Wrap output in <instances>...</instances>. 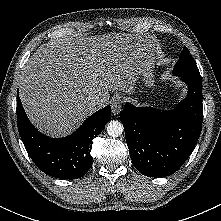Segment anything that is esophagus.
<instances>
[{
  "mask_svg": "<svg viewBox=\"0 0 221 221\" xmlns=\"http://www.w3.org/2000/svg\"><path fill=\"white\" fill-rule=\"evenodd\" d=\"M122 102L123 100L120 96L113 97V99L111 100L110 106L114 115L120 113L122 108Z\"/></svg>",
  "mask_w": 221,
  "mask_h": 221,
  "instance_id": "obj_1",
  "label": "esophagus"
}]
</instances>
